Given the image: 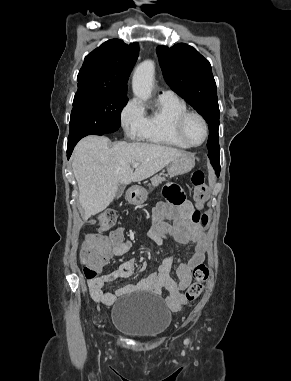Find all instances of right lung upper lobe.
<instances>
[{
  "instance_id": "right-lung-upper-lobe-1",
  "label": "right lung upper lobe",
  "mask_w": 291,
  "mask_h": 381,
  "mask_svg": "<svg viewBox=\"0 0 291 381\" xmlns=\"http://www.w3.org/2000/svg\"><path fill=\"white\" fill-rule=\"evenodd\" d=\"M139 44L112 39L85 57L78 74V90H105L126 94L127 80L138 58Z\"/></svg>"
}]
</instances>
